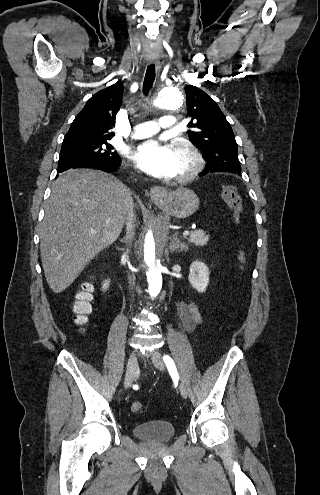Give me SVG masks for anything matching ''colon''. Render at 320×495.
Instances as JSON below:
<instances>
[{"instance_id":"1","label":"colon","mask_w":320,"mask_h":495,"mask_svg":"<svg viewBox=\"0 0 320 495\" xmlns=\"http://www.w3.org/2000/svg\"><path fill=\"white\" fill-rule=\"evenodd\" d=\"M221 195L228 207L232 210L236 219L241 216V199L238 195L236 188L233 185H224L221 189ZM241 270H244L246 264V251L241 249L238 256ZM91 306V292L90 286H84L78 292L76 301L74 303V312L78 321L84 322L87 316L90 314ZM131 411L135 415H140L143 412V405L140 402H133L131 404Z\"/></svg>"}]
</instances>
